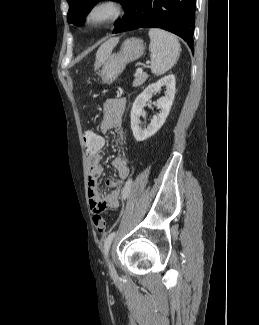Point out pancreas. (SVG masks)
Wrapping results in <instances>:
<instances>
[{
  "mask_svg": "<svg viewBox=\"0 0 259 325\" xmlns=\"http://www.w3.org/2000/svg\"><path fill=\"white\" fill-rule=\"evenodd\" d=\"M134 76L135 79L133 81V87L141 86L148 78V74L145 72H141V73L136 72Z\"/></svg>",
  "mask_w": 259,
  "mask_h": 325,
  "instance_id": "cf45deb5",
  "label": "pancreas"
}]
</instances>
